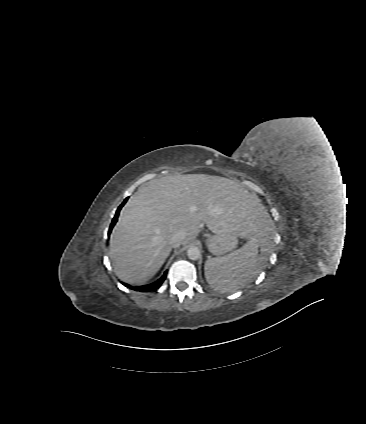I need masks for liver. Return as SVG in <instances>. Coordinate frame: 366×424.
<instances>
[{
    "label": "liver",
    "instance_id": "1",
    "mask_svg": "<svg viewBox=\"0 0 366 424\" xmlns=\"http://www.w3.org/2000/svg\"><path fill=\"white\" fill-rule=\"evenodd\" d=\"M212 233L234 232L266 240L268 225L259 199L241 183L206 174L155 179L132 195L110 236L115 274L139 284L151 279L171 252L179 231L182 244L196 238L203 225Z\"/></svg>",
    "mask_w": 366,
    "mask_h": 424
}]
</instances>
